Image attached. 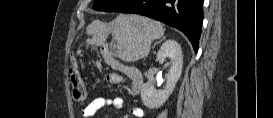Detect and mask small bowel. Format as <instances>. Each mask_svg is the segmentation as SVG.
Segmentation results:
<instances>
[{"label": "small bowel", "mask_w": 273, "mask_h": 118, "mask_svg": "<svg viewBox=\"0 0 273 118\" xmlns=\"http://www.w3.org/2000/svg\"><path fill=\"white\" fill-rule=\"evenodd\" d=\"M111 107L121 109L123 107V99L113 95H98L93 97L88 104L82 109L81 115L83 118L93 117L101 108ZM130 113L134 117H141L143 111L140 107H131Z\"/></svg>", "instance_id": "c3829d8e"}]
</instances>
